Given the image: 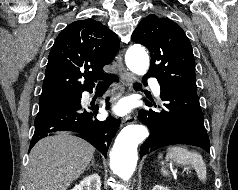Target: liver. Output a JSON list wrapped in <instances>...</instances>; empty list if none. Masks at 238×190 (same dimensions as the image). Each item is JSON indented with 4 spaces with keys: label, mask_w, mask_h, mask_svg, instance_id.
Returning a JSON list of instances; mask_svg holds the SVG:
<instances>
[{
    "label": "liver",
    "mask_w": 238,
    "mask_h": 190,
    "mask_svg": "<svg viewBox=\"0 0 238 190\" xmlns=\"http://www.w3.org/2000/svg\"><path fill=\"white\" fill-rule=\"evenodd\" d=\"M94 147L69 132L38 141L29 155L27 190H67L93 158Z\"/></svg>",
    "instance_id": "6515ba94"
}]
</instances>
